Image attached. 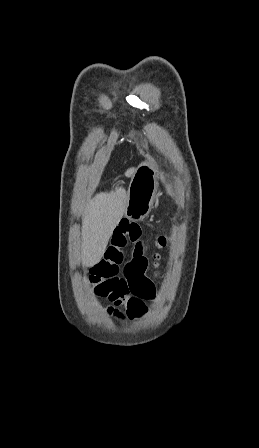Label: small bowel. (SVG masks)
<instances>
[{
    "mask_svg": "<svg viewBox=\"0 0 259 448\" xmlns=\"http://www.w3.org/2000/svg\"><path fill=\"white\" fill-rule=\"evenodd\" d=\"M128 244L132 248L129 258H125L123 249ZM146 268L141 228L137 223L123 219L113 229L110 245L88 277L95 293L111 301L105 309L109 316L123 321L143 318L147 314L146 302L155 300V288L145 275Z\"/></svg>",
    "mask_w": 259,
    "mask_h": 448,
    "instance_id": "obj_1",
    "label": "small bowel"
}]
</instances>
